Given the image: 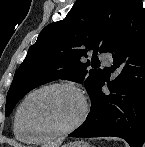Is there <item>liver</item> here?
I'll return each instance as SVG.
<instances>
[{
    "instance_id": "obj_1",
    "label": "liver",
    "mask_w": 145,
    "mask_h": 147,
    "mask_svg": "<svg viewBox=\"0 0 145 147\" xmlns=\"http://www.w3.org/2000/svg\"><path fill=\"white\" fill-rule=\"evenodd\" d=\"M62 143V139L56 140L54 142H49L48 144L44 145L43 147H59Z\"/></svg>"
}]
</instances>
